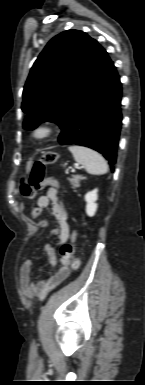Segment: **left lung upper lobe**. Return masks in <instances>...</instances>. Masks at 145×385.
<instances>
[{
  "label": "left lung upper lobe",
  "instance_id": "5c2ea615",
  "mask_svg": "<svg viewBox=\"0 0 145 385\" xmlns=\"http://www.w3.org/2000/svg\"><path fill=\"white\" fill-rule=\"evenodd\" d=\"M99 44L86 33L68 30L49 41L35 61L23 90V127L45 121L63 125L92 67Z\"/></svg>",
  "mask_w": 145,
  "mask_h": 385
}]
</instances>
